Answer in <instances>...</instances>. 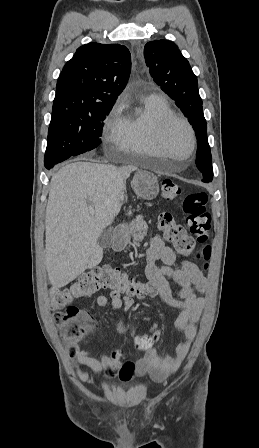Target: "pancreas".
I'll use <instances>...</instances> for the list:
<instances>
[{
  "label": "pancreas",
  "instance_id": "1",
  "mask_svg": "<svg viewBox=\"0 0 259 448\" xmlns=\"http://www.w3.org/2000/svg\"><path fill=\"white\" fill-rule=\"evenodd\" d=\"M144 216H136V220L131 222V226L133 228V242L137 244V242H142L144 240V236H147L148 226L146 222L143 220Z\"/></svg>",
  "mask_w": 259,
  "mask_h": 448
}]
</instances>
